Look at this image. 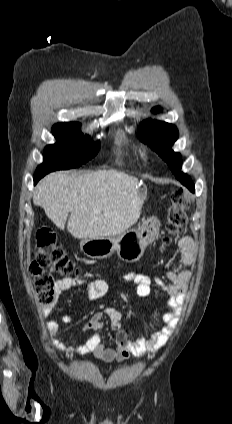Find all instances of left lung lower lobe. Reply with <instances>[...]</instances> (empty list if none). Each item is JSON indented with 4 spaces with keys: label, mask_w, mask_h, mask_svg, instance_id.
Here are the masks:
<instances>
[{
    "label": "left lung lower lobe",
    "mask_w": 232,
    "mask_h": 424,
    "mask_svg": "<svg viewBox=\"0 0 232 424\" xmlns=\"http://www.w3.org/2000/svg\"><path fill=\"white\" fill-rule=\"evenodd\" d=\"M184 186H186L190 191L194 192V184L192 183L189 177H185L179 180Z\"/></svg>",
    "instance_id": "1"
}]
</instances>
